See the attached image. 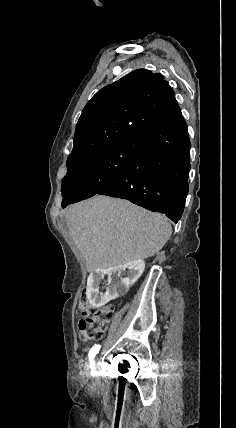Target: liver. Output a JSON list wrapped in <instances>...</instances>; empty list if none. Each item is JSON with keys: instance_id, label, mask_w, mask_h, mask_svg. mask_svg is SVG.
<instances>
[{"instance_id": "liver-1", "label": "liver", "mask_w": 236, "mask_h": 428, "mask_svg": "<svg viewBox=\"0 0 236 428\" xmlns=\"http://www.w3.org/2000/svg\"><path fill=\"white\" fill-rule=\"evenodd\" d=\"M65 218L87 272L150 258L172 234V226L162 214L108 196L69 206Z\"/></svg>"}]
</instances>
